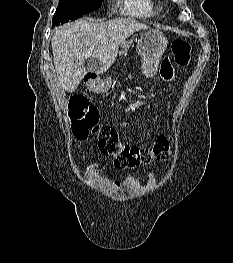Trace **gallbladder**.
Returning <instances> with one entry per match:
<instances>
[{
    "instance_id": "bac80fb5",
    "label": "gallbladder",
    "mask_w": 233,
    "mask_h": 263,
    "mask_svg": "<svg viewBox=\"0 0 233 263\" xmlns=\"http://www.w3.org/2000/svg\"><path fill=\"white\" fill-rule=\"evenodd\" d=\"M91 66H92V62H89V63H88V67H89L90 70L92 69Z\"/></svg>"
}]
</instances>
